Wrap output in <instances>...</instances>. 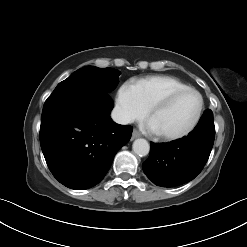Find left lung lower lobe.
I'll return each instance as SVG.
<instances>
[{
  "mask_svg": "<svg viewBox=\"0 0 247 247\" xmlns=\"http://www.w3.org/2000/svg\"><path fill=\"white\" fill-rule=\"evenodd\" d=\"M215 137L213 113L206 110L195 129L181 140L150 143L149 158L142 164L156 185L175 187L194 179L206 164Z\"/></svg>",
  "mask_w": 247,
  "mask_h": 247,
  "instance_id": "1",
  "label": "left lung lower lobe"
}]
</instances>
